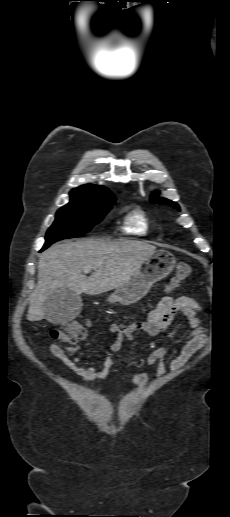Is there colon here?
<instances>
[{"label":"colon","instance_id":"obj_1","mask_svg":"<svg viewBox=\"0 0 230 517\" xmlns=\"http://www.w3.org/2000/svg\"><path fill=\"white\" fill-rule=\"evenodd\" d=\"M192 275L193 269L190 265L185 263L179 264L170 281V288L178 286L181 281L190 278ZM88 326V323L69 322L62 324L59 328L53 329L51 335L61 343L74 344L86 336Z\"/></svg>","mask_w":230,"mask_h":517}]
</instances>
